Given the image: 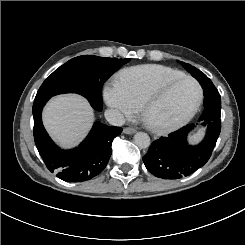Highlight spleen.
<instances>
[{
    "instance_id": "spleen-1",
    "label": "spleen",
    "mask_w": 245,
    "mask_h": 245,
    "mask_svg": "<svg viewBox=\"0 0 245 245\" xmlns=\"http://www.w3.org/2000/svg\"><path fill=\"white\" fill-rule=\"evenodd\" d=\"M208 135V126L204 125L201 128L198 129L197 132H195L192 135H187L185 138L186 144L190 147H196L199 146L204 142Z\"/></svg>"
}]
</instances>
